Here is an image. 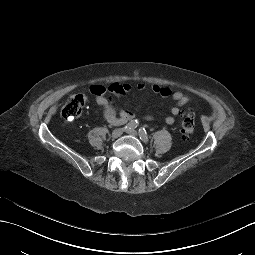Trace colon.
I'll use <instances>...</instances> for the list:
<instances>
[{"label": "colon", "instance_id": "1", "mask_svg": "<svg viewBox=\"0 0 255 255\" xmlns=\"http://www.w3.org/2000/svg\"><path fill=\"white\" fill-rule=\"evenodd\" d=\"M88 102V97L84 94H74L68 96L62 106V115L66 119H74L81 115L83 108ZM195 129V120L191 111L183 115L181 132L184 136H190Z\"/></svg>", "mask_w": 255, "mask_h": 255}]
</instances>
